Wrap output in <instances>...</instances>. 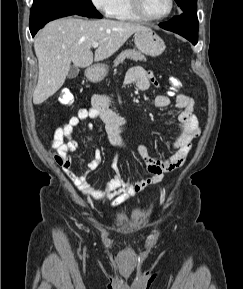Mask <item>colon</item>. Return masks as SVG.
Masks as SVG:
<instances>
[{"label":"colon","mask_w":243,"mask_h":289,"mask_svg":"<svg viewBox=\"0 0 243 289\" xmlns=\"http://www.w3.org/2000/svg\"><path fill=\"white\" fill-rule=\"evenodd\" d=\"M169 84L171 94H174L182 87L181 80L177 77H170ZM59 101L63 105H72L74 103V96L69 89L64 88L60 91ZM56 161L59 163L60 158L56 157Z\"/></svg>","instance_id":"5ec220e1"}]
</instances>
